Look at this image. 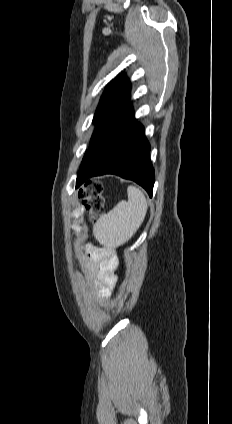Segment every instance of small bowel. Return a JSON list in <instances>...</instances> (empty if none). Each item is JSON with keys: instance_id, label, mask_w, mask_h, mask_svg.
Wrapping results in <instances>:
<instances>
[{"instance_id": "1", "label": "small bowel", "mask_w": 232, "mask_h": 424, "mask_svg": "<svg viewBox=\"0 0 232 424\" xmlns=\"http://www.w3.org/2000/svg\"><path fill=\"white\" fill-rule=\"evenodd\" d=\"M82 254L89 276L96 282L95 290L101 298L107 297L116 283V276L111 268L112 258L99 257L88 248L83 249Z\"/></svg>"}]
</instances>
